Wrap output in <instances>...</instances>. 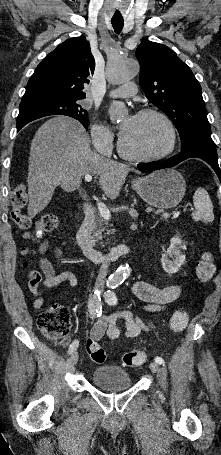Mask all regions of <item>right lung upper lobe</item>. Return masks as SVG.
Masks as SVG:
<instances>
[{
  "label": "right lung upper lobe",
  "mask_w": 221,
  "mask_h": 455,
  "mask_svg": "<svg viewBox=\"0 0 221 455\" xmlns=\"http://www.w3.org/2000/svg\"><path fill=\"white\" fill-rule=\"evenodd\" d=\"M94 68L95 60L84 36L64 41L37 66L20 106L84 99V85L89 84Z\"/></svg>",
  "instance_id": "right-lung-upper-lobe-1"
}]
</instances>
